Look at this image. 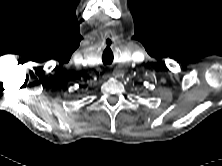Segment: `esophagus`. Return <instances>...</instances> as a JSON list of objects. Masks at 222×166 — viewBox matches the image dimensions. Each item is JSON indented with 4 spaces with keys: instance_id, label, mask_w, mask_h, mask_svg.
Here are the masks:
<instances>
[{
    "instance_id": "obj_1",
    "label": "esophagus",
    "mask_w": 222,
    "mask_h": 166,
    "mask_svg": "<svg viewBox=\"0 0 222 166\" xmlns=\"http://www.w3.org/2000/svg\"><path fill=\"white\" fill-rule=\"evenodd\" d=\"M121 74L120 73H116L115 74V77H119Z\"/></svg>"
}]
</instances>
